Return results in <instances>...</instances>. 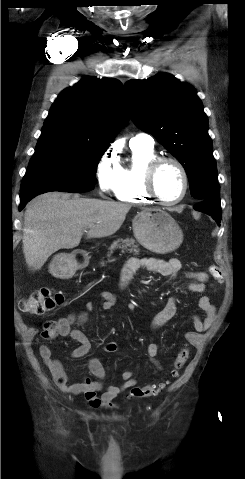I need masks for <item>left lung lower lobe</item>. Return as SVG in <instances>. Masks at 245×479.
I'll use <instances>...</instances> for the list:
<instances>
[{
    "label": "left lung lower lobe",
    "mask_w": 245,
    "mask_h": 479,
    "mask_svg": "<svg viewBox=\"0 0 245 479\" xmlns=\"http://www.w3.org/2000/svg\"><path fill=\"white\" fill-rule=\"evenodd\" d=\"M194 209L210 215L220 226L222 210L219 194H216L208 199L201 201L194 207Z\"/></svg>",
    "instance_id": "left-lung-lower-lobe-1"
}]
</instances>
